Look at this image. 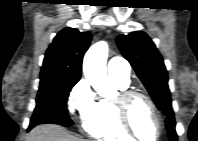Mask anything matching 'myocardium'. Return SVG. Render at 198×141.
<instances>
[{
  "label": "myocardium",
  "instance_id": "myocardium-1",
  "mask_svg": "<svg viewBox=\"0 0 198 141\" xmlns=\"http://www.w3.org/2000/svg\"><path fill=\"white\" fill-rule=\"evenodd\" d=\"M139 98L145 100L151 108L157 126V135L154 141H158L163 132L162 119L154 100L143 92L132 89H125L119 92L118 96L113 101L119 123L121 124L125 132L129 134L132 138L142 140L138 137L137 133L133 129L130 120L131 105L134 100Z\"/></svg>",
  "mask_w": 198,
  "mask_h": 141
}]
</instances>
